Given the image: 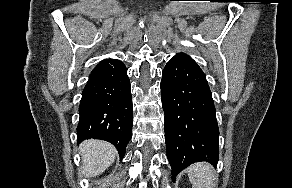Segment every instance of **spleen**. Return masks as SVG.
I'll return each mask as SVG.
<instances>
[{
  "label": "spleen",
  "instance_id": "3e777b00",
  "mask_svg": "<svg viewBox=\"0 0 292 188\" xmlns=\"http://www.w3.org/2000/svg\"><path fill=\"white\" fill-rule=\"evenodd\" d=\"M188 177L193 188H214L216 178L208 163H195L188 168Z\"/></svg>",
  "mask_w": 292,
  "mask_h": 188
}]
</instances>
